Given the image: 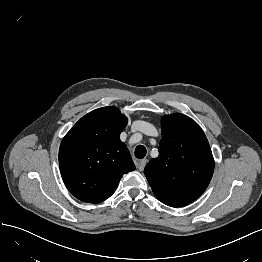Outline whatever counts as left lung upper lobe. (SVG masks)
<instances>
[{"mask_svg":"<svg viewBox=\"0 0 262 262\" xmlns=\"http://www.w3.org/2000/svg\"><path fill=\"white\" fill-rule=\"evenodd\" d=\"M159 156L144 172L155 196L171 207H183L207 188L214 159L200 126L190 117L175 113L162 118Z\"/></svg>","mask_w":262,"mask_h":262,"instance_id":"obj_1","label":"left lung upper lobe"}]
</instances>
